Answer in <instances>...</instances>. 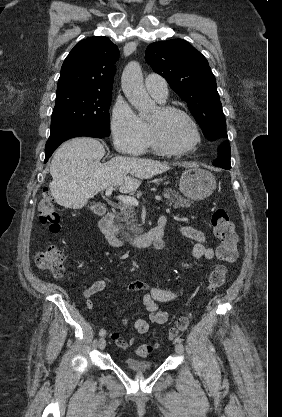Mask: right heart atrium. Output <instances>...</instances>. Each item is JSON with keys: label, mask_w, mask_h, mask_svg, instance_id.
Returning a JSON list of instances; mask_svg holds the SVG:
<instances>
[{"label": "right heart atrium", "mask_w": 282, "mask_h": 417, "mask_svg": "<svg viewBox=\"0 0 282 417\" xmlns=\"http://www.w3.org/2000/svg\"><path fill=\"white\" fill-rule=\"evenodd\" d=\"M113 142L124 154H141L148 146L149 127L145 121L126 104L116 103L111 117Z\"/></svg>", "instance_id": "d8ad5b80"}]
</instances>
